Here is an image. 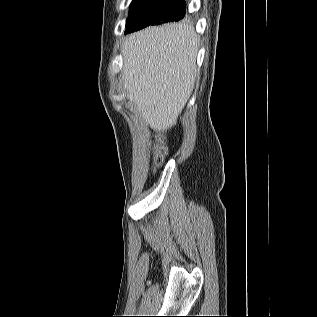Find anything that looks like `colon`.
<instances>
[{
    "label": "colon",
    "mask_w": 317,
    "mask_h": 317,
    "mask_svg": "<svg viewBox=\"0 0 317 317\" xmlns=\"http://www.w3.org/2000/svg\"><path fill=\"white\" fill-rule=\"evenodd\" d=\"M166 150L164 146H159L155 155V163L160 164L165 156Z\"/></svg>",
    "instance_id": "5ec220e1"
}]
</instances>
